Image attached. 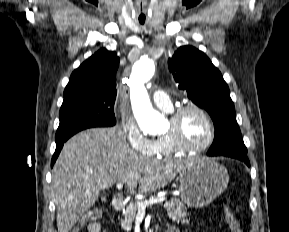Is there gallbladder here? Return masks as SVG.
<instances>
[{"label":"gallbladder","mask_w":289,"mask_h":232,"mask_svg":"<svg viewBox=\"0 0 289 232\" xmlns=\"http://www.w3.org/2000/svg\"><path fill=\"white\" fill-rule=\"evenodd\" d=\"M105 199H106V197H105V196H102V200L105 201Z\"/></svg>","instance_id":"bac80fb5"}]
</instances>
